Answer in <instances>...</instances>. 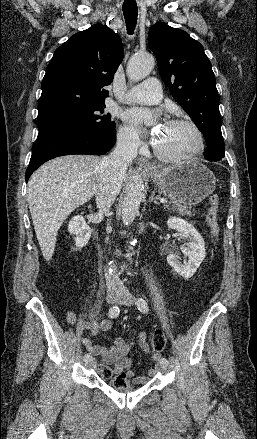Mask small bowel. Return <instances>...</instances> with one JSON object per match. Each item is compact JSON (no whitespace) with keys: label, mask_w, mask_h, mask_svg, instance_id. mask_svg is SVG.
Masks as SVG:
<instances>
[{"label":"small bowel","mask_w":257,"mask_h":439,"mask_svg":"<svg viewBox=\"0 0 257 439\" xmlns=\"http://www.w3.org/2000/svg\"><path fill=\"white\" fill-rule=\"evenodd\" d=\"M74 320V314L68 313L67 321L71 323ZM110 328L111 322L109 320L98 321L91 319L86 325V329L89 331L91 337H84L81 339V342L90 355L94 356V367L102 372L104 369L110 368L109 366L113 365L112 371L115 374L124 373L127 379L134 384L143 385L148 383L154 377L156 370L153 368L143 375H136L133 369V360L130 356L136 346L145 353H149L148 334L146 332H139L130 342H125L120 338H114L109 346L95 344L92 338L108 332ZM95 357L100 359L99 363ZM151 359L157 361L159 354H152Z\"/></svg>","instance_id":"1"}]
</instances>
